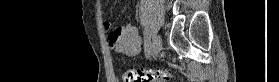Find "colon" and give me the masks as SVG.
I'll list each match as a JSON object with an SVG mask.
<instances>
[{
    "instance_id": "obj_1",
    "label": "colon",
    "mask_w": 279,
    "mask_h": 82,
    "mask_svg": "<svg viewBox=\"0 0 279 82\" xmlns=\"http://www.w3.org/2000/svg\"><path fill=\"white\" fill-rule=\"evenodd\" d=\"M169 76L167 69H129L123 74V82H165Z\"/></svg>"
}]
</instances>
